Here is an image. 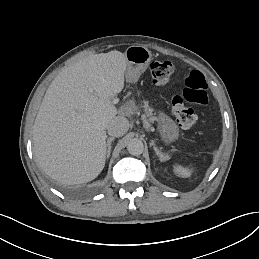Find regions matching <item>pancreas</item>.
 <instances>
[{
    "mask_svg": "<svg viewBox=\"0 0 259 259\" xmlns=\"http://www.w3.org/2000/svg\"><path fill=\"white\" fill-rule=\"evenodd\" d=\"M145 105V113L149 117V121L153 122L157 120V117L153 116V109L148 107V102H144Z\"/></svg>",
    "mask_w": 259,
    "mask_h": 259,
    "instance_id": "pancreas-1",
    "label": "pancreas"
}]
</instances>
